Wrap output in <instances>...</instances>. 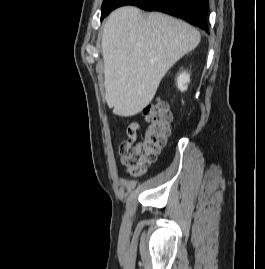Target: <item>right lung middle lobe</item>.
<instances>
[{
    "label": "right lung middle lobe",
    "mask_w": 265,
    "mask_h": 269,
    "mask_svg": "<svg viewBox=\"0 0 265 269\" xmlns=\"http://www.w3.org/2000/svg\"><path fill=\"white\" fill-rule=\"evenodd\" d=\"M114 0H104L102 4L101 18L107 13Z\"/></svg>",
    "instance_id": "dd1d6c3e"
}]
</instances>
